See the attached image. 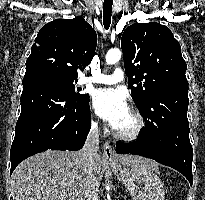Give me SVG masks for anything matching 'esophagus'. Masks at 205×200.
Here are the masks:
<instances>
[{"label": "esophagus", "instance_id": "34e87169", "mask_svg": "<svg viewBox=\"0 0 205 200\" xmlns=\"http://www.w3.org/2000/svg\"><path fill=\"white\" fill-rule=\"evenodd\" d=\"M103 155H104V158L108 161L116 160V156L112 150L111 145L108 142H105L103 145Z\"/></svg>", "mask_w": 205, "mask_h": 200}]
</instances>
